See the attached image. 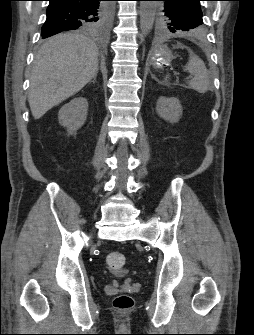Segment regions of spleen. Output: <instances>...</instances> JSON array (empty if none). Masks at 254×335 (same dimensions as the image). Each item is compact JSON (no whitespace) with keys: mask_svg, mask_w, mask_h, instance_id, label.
I'll return each mask as SVG.
<instances>
[{"mask_svg":"<svg viewBox=\"0 0 254 335\" xmlns=\"http://www.w3.org/2000/svg\"><path fill=\"white\" fill-rule=\"evenodd\" d=\"M184 70L194 77L188 81L189 86L199 93H205L210 88V76L204 62L196 55L191 54ZM169 76L165 77V80Z\"/></svg>","mask_w":254,"mask_h":335,"instance_id":"1","label":"spleen"}]
</instances>
